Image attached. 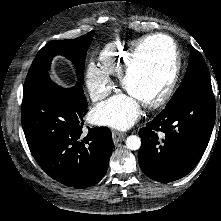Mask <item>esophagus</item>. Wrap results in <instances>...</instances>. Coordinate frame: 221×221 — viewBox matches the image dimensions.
Masks as SVG:
<instances>
[{"label":"esophagus","mask_w":221,"mask_h":221,"mask_svg":"<svg viewBox=\"0 0 221 221\" xmlns=\"http://www.w3.org/2000/svg\"><path fill=\"white\" fill-rule=\"evenodd\" d=\"M112 138L114 144H117L118 142H121L122 140L125 139V135L122 132H119L117 130L112 131Z\"/></svg>","instance_id":"1"}]
</instances>
